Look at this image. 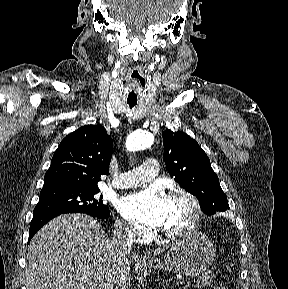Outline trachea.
<instances>
[{
    "mask_svg": "<svg viewBox=\"0 0 288 289\" xmlns=\"http://www.w3.org/2000/svg\"><path fill=\"white\" fill-rule=\"evenodd\" d=\"M128 80L129 83L125 89V96L129 108L132 109L137 104L140 95L138 83L142 80L141 72L137 69H133L129 74Z\"/></svg>",
    "mask_w": 288,
    "mask_h": 289,
    "instance_id": "1",
    "label": "trachea"
}]
</instances>
